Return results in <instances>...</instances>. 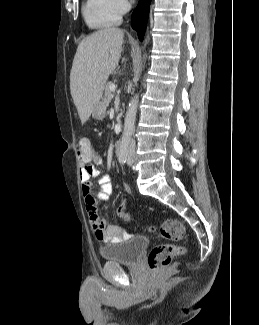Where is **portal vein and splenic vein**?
I'll return each instance as SVG.
<instances>
[{"label":"portal vein and splenic vein","mask_w":259,"mask_h":325,"mask_svg":"<svg viewBox=\"0 0 259 325\" xmlns=\"http://www.w3.org/2000/svg\"><path fill=\"white\" fill-rule=\"evenodd\" d=\"M110 89H111V91H115V89H116V87H115V85L114 84H111V86H110ZM113 97V96H112Z\"/></svg>","instance_id":"obj_1"}]
</instances>
